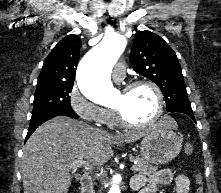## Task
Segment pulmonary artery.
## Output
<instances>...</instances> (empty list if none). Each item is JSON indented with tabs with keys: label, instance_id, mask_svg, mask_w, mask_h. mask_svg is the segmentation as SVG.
Wrapping results in <instances>:
<instances>
[{
	"label": "pulmonary artery",
	"instance_id": "pulmonary-artery-1",
	"mask_svg": "<svg viewBox=\"0 0 221 193\" xmlns=\"http://www.w3.org/2000/svg\"><path fill=\"white\" fill-rule=\"evenodd\" d=\"M125 74H126L125 67L121 63H118L112 71V77L115 81L123 80L125 77Z\"/></svg>",
	"mask_w": 221,
	"mask_h": 193
}]
</instances>
